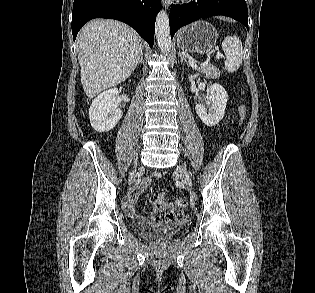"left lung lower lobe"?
<instances>
[{"mask_svg": "<svg viewBox=\"0 0 315 293\" xmlns=\"http://www.w3.org/2000/svg\"><path fill=\"white\" fill-rule=\"evenodd\" d=\"M217 15L234 18L248 29V10L245 0H194L189 4H172L169 14L171 38L182 26Z\"/></svg>", "mask_w": 315, "mask_h": 293, "instance_id": "1", "label": "left lung lower lobe"}]
</instances>
